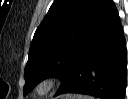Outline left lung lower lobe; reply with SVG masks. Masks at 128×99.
Listing matches in <instances>:
<instances>
[{
    "label": "left lung lower lobe",
    "mask_w": 128,
    "mask_h": 99,
    "mask_svg": "<svg viewBox=\"0 0 128 99\" xmlns=\"http://www.w3.org/2000/svg\"><path fill=\"white\" fill-rule=\"evenodd\" d=\"M127 51L123 27L112 0L61 77L55 96L78 93L125 99Z\"/></svg>",
    "instance_id": "left-lung-lower-lobe-1"
}]
</instances>
